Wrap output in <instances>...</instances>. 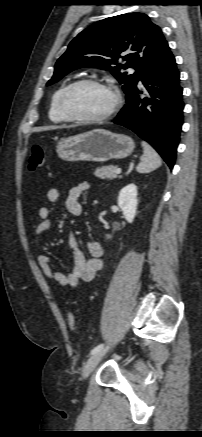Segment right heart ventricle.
Returning a JSON list of instances; mask_svg holds the SVG:
<instances>
[{
	"instance_id": "e07e8e85",
	"label": "right heart ventricle",
	"mask_w": 202,
	"mask_h": 437,
	"mask_svg": "<svg viewBox=\"0 0 202 437\" xmlns=\"http://www.w3.org/2000/svg\"><path fill=\"white\" fill-rule=\"evenodd\" d=\"M68 85L61 86L52 95L49 107V118L54 123H64L68 120L62 115L59 108V99Z\"/></svg>"
}]
</instances>
